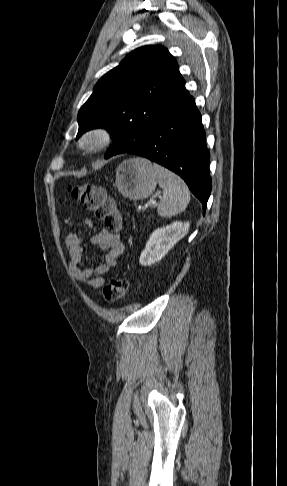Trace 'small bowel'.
<instances>
[{
    "instance_id": "obj_1",
    "label": "small bowel",
    "mask_w": 287,
    "mask_h": 486,
    "mask_svg": "<svg viewBox=\"0 0 287 486\" xmlns=\"http://www.w3.org/2000/svg\"><path fill=\"white\" fill-rule=\"evenodd\" d=\"M78 224L87 227L93 226L89 218H79ZM91 243L106 251L104 262L93 268H84L83 263L87 257L84 252L83 239L74 232L67 235L65 244L69 256V271L76 281L86 283L92 288H100L104 283L103 276L116 267L119 256L124 252V244L119 234L108 230H102L92 236Z\"/></svg>"
}]
</instances>
